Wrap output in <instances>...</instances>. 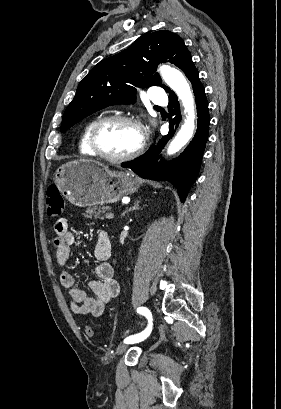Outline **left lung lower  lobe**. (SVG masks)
Returning <instances> with one entry per match:
<instances>
[{
	"label": "left lung lower lobe",
	"mask_w": 281,
	"mask_h": 409,
	"mask_svg": "<svg viewBox=\"0 0 281 409\" xmlns=\"http://www.w3.org/2000/svg\"><path fill=\"white\" fill-rule=\"evenodd\" d=\"M189 80L192 83L195 95L198 123L196 134L184 152L177 159L169 162L158 161L157 158L160 150L171 138L180 122L179 102L177 96L172 94L169 95L168 110L171 112L170 115L175 117L169 122V134L163 136L156 145L151 146L138 159L122 165V167L131 169L142 178L171 182L177 187L181 202L185 201L191 185L198 176L210 123L208 102L197 69L192 72Z\"/></svg>",
	"instance_id": "0a47b994"
}]
</instances>
